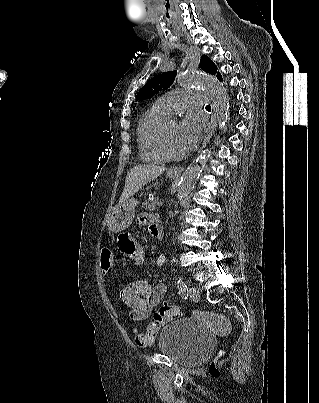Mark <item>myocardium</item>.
I'll use <instances>...</instances> for the list:
<instances>
[{"mask_svg":"<svg viewBox=\"0 0 319 403\" xmlns=\"http://www.w3.org/2000/svg\"><path fill=\"white\" fill-rule=\"evenodd\" d=\"M167 124L168 122H165L161 127L159 134V148L166 159L181 160L185 158L186 152L185 151L175 152L171 149L167 139Z\"/></svg>","mask_w":319,"mask_h":403,"instance_id":"f54148a6","label":"myocardium"}]
</instances>
